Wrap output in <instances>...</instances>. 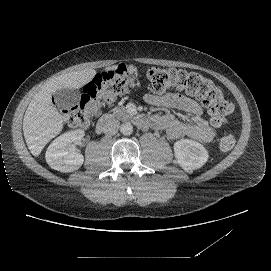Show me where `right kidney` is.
<instances>
[{
	"label": "right kidney",
	"mask_w": 271,
	"mask_h": 271,
	"mask_svg": "<svg viewBox=\"0 0 271 271\" xmlns=\"http://www.w3.org/2000/svg\"><path fill=\"white\" fill-rule=\"evenodd\" d=\"M85 136L83 129L69 130L54 139L46 150V160L50 167L61 172H72L83 163V155L72 145L78 144Z\"/></svg>",
	"instance_id": "ca27d5eb"
}]
</instances>
